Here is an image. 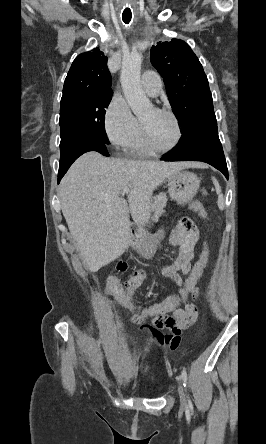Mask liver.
Listing matches in <instances>:
<instances>
[{
    "label": "liver",
    "instance_id": "obj_1",
    "mask_svg": "<svg viewBox=\"0 0 266 444\" xmlns=\"http://www.w3.org/2000/svg\"><path fill=\"white\" fill-rule=\"evenodd\" d=\"M202 168L196 162L106 158L91 151L79 157L60 183L62 213L90 272L120 257L132 244L129 211L144 225L153 191L176 172ZM129 188L128 203L120 197Z\"/></svg>",
    "mask_w": 266,
    "mask_h": 444
}]
</instances>
